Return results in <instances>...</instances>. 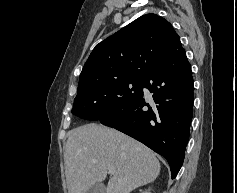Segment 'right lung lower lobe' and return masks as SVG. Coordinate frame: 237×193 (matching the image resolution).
<instances>
[{
	"mask_svg": "<svg viewBox=\"0 0 237 193\" xmlns=\"http://www.w3.org/2000/svg\"><path fill=\"white\" fill-rule=\"evenodd\" d=\"M143 87L153 93V103L146 102L141 90L129 105L99 121L162 155L175 178L184 160L194 97L191 65L184 49L148 73Z\"/></svg>",
	"mask_w": 237,
	"mask_h": 193,
	"instance_id": "right-lung-lower-lobe-1",
	"label": "right lung lower lobe"
}]
</instances>
